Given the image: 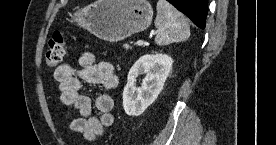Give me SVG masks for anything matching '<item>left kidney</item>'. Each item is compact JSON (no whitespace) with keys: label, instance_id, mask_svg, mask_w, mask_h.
<instances>
[{"label":"left kidney","instance_id":"obj_1","mask_svg":"<svg viewBox=\"0 0 276 145\" xmlns=\"http://www.w3.org/2000/svg\"><path fill=\"white\" fill-rule=\"evenodd\" d=\"M173 59L166 54H146L131 67L123 91V108L129 116L141 115L158 97L172 68ZM145 75L141 87L136 78Z\"/></svg>","mask_w":276,"mask_h":145}]
</instances>
